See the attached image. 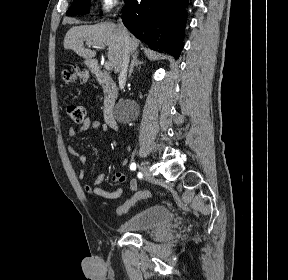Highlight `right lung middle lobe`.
<instances>
[{
    "mask_svg": "<svg viewBox=\"0 0 288 280\" xmlns=\"http://www.w3.org/2000/svg\"><path fill=\"white\" fill-rule=\"evenodd\" d=\"M90 0H74L72 6L67 11L66 15L87 14L89 11Z\"/></svg>",
    "mask_w": 288,
    "mask_h": 280,
    "instance_id": "obj_1",
    "label": "right lung middle lobe"
}]
</instances>
